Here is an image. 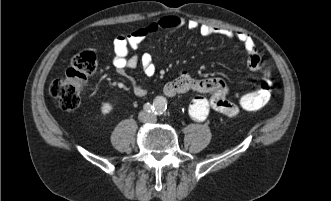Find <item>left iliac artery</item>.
Instances as JSON below:
<instances>
[{"label":"left iliac artery","mask_w":331,"mask_h":201,"mask_svg":"<svg viewBox=\"0 0 331 201\" xmlns=\"http://www.w3.org/2000/svg\"><path fill=\"white\" fill-rule=\"evenodd\" d=\"M155 114H163L167 108V105L165 104V102H163L160 99H157L155 101Z\"/></svg>","instance_id":"1"}]
</instances>
